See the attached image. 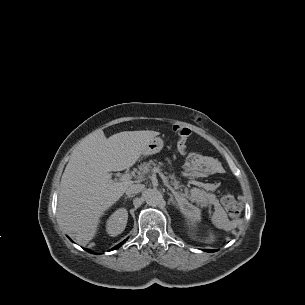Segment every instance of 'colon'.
Returning a JSON list of instances; mask_svg holds the SVG:
<instances>
[{
	"mask_svg": "<svg viewBox=\"0 0 305 305\" xmlns=\"http://www.w3.org/2000/svg\"><path fill=\"white\" fill-rule=\"evenodd\" d=\"M172 130L179 138L178 148H186V141L191 135V130L187 127L180 125H174ZM221 201L229 216L236 217L238 215V213L240 212V205L233 194L226 193L225 195H223Z\"/></svg>",
	"mask_w": 305,
	"mask_h": 305,
	"instance_id": "colon-1",
	"label": "colon"
}]
</instances>
